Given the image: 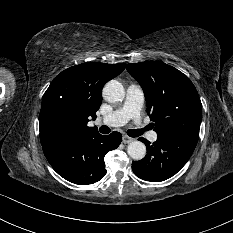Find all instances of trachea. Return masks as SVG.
Wrapping results in <instances>:
<instances>
[{
	"label": "trachea",
	"instance_id": "obj_1",
	"mask_svg": "<svg viewBox=\"0 0 233 233\" xmlns=\"http://www.w3.org/2000/svg\"><path fill=\"white\" fill-rule=\"evenodd\" d=\"M99 130L103 134H108L111 131L110 128L105 126V125L101 126ZM142 133H143L142 129H136V130L130 129V130L127 131V134L130 137H138V136L142 135Z\"/></svg>",
	"mask_w": 233,
	"mask_h": 233
}]
</instances>
